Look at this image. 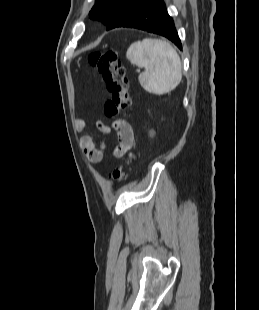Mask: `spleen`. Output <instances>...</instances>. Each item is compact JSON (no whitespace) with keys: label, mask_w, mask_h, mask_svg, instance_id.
<instances>
[{"label":"spleen","mask_w":259,"mask_h":310,"mask_svg":"<svg viewBox=\"0 0 259 310\" xmlns=\"http://www.w3.org/2000/svg\"><path fill=\"white\" fill-rule=\"evenodd\" d=\"M131 64L144 68L140 85L149 93L162 95L175 89L182 79V63L176 50L161 39L145 38L132 43L126 52Z\"/></svg>","instance_id":"1"}]
</instances>
